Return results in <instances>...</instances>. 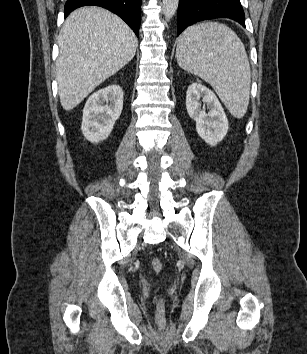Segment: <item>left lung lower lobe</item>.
<instances>
[{
  "label": "left lung lower lobe",
  "instance_id": "1",
  "mask_svg": "<svg viewBox=\"0 0 307 354\" xmlns=\"http://www.w3.org/2000/svg\"><path fill=\"white\" fill-rule=\"evenodd\" d=\"M214 18L232 19L245 27L240 0H179L177 36L196 22Z\"/></svg>",
  "mask_w": 307,
  "mask_h": 354
}]
</instances>
